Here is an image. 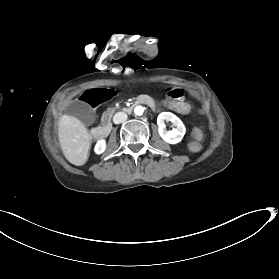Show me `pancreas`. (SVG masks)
Returning a JSON list of instances; mask_svg holds the SVG:
<instances>
[{
	"label": "pancreas",
	"mask_w": 279,
	"mask_h": 279,
	"mask_svg": "<svg viewBox=\"0 0 279 279\" xmlns=\"http://www.w3.org/2000/svg\"><path fill=\"white\" fill-rule=\"evenodd\" d=\"M115 110H116V107L108 108L107 111L103 113V116H110L111 117L113 115V113L115 112Z\"/></svg>",
	"instance_id": "pancreas-1"
}]
</instances>
